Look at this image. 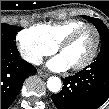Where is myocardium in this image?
<instances>
[{"label":"myocardium","instance_id":"1","mask_svg":"<svg viewBox=\"0 0 109 109\" xmlns=\"http://www.w3.org/2000/svg\"><path fill=\"white\" fill-rule=\"evenodd\" d=\"M91 28L94 30L95 35H96V40H95V45L94 48L90 54V56L84 60L82 63L78 64V65H74V66H70V68L74 71H78V70H82L86 67H88L90 64H92V62L95 60L99 48H100V42H101V34L99 29L93 25V24H84L78 28H76L74 31H72L59 45H58V51L60 53H62L67 47H69L70 45H72L76 39L78 38V36L85 30Z\"/></svg>","mask_w":109,"mask_h":109}]
</instances>
